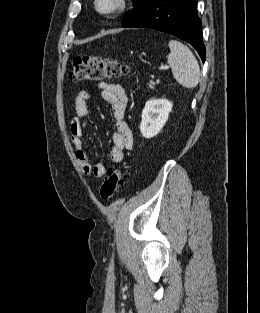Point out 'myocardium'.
I'll return each mask as SVG.
<instances>
[{
  "mask_svg": "<svg viewBox=\"0 0 260 313\" xmlns=\"http://www.w3.org/2000/svg\"><path fill=\"white\" fill-rule=\"evenodd\" d=\"M100 0H94V8L102 16H113L123 11L127 6V0H114L112 7L103 10L99 6Z\"/></svg>",
  "mask_w": 260,
  "mask_h": 313,
  "instance_id": "myocardium-1",
  "label": "myocardium"
}]
</instances>
